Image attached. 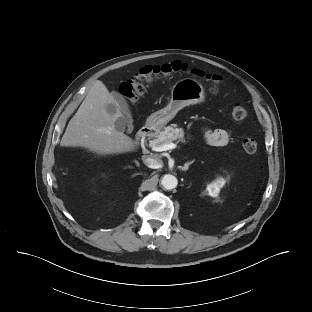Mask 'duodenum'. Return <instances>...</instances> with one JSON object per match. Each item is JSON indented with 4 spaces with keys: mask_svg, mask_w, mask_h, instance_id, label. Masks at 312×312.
Segmentation results:
<instances>
[{
    "mask_svg": "<svg viewBox=\"0 0 312 312\" xmlns=\"http://www.w3.org/2000/svg\"><path fill=\"white\" fill-rule=\"evenodd\" d=\"M155 126L147 125L143 127L136 135V142L138 144L145 143L149 138H151L155 134Z\"/></svg>",
    "mask_w": 312,
    "mask_h": 312,
    "instance_id": "410a0bca",
    "label": "duodenum"
}]
</instances>
